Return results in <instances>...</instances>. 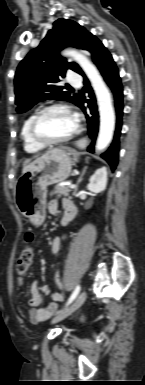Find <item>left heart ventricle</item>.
<instances>
[{
    "label": "left heart ventricle",
    "mask_w": 145,
    "mask_h": 385,
    "mask_svg": "<svg viewBox=\"0 0 145 385\" xmlns=\"http://www.w3.org/2000/svg\"><path fill=\"white\" fill-rule=\"evenodd\" d=\"M76 129L75 119L62 110L48 112L40 121L38 131L46 140H58L67 137Z\"/></svg>",
    "instance_id": "b2bd125f"
}]
</instances>
